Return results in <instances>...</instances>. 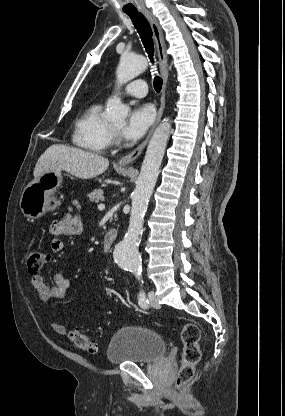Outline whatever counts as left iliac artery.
Returning <instances> with one entry per match:
<instances>
[{"instance_id": "left-iliac-artery-1", "label": "left iliac artery", "mask_w": 285, "mask_h": 416, "mask_svg": "<svg viewBox=\"0 0 285 416\" xmlns=\"http://www.w3.org/2000/svg\"><path fill=\"white\" fill-rule=\"evenodd\" d=\"M143 284V281H141ZM138 304L140 307L146 309L148 308L149 301L146 298L145 290L142 288L138 294Z\"/></svg>"}]
</instances>
